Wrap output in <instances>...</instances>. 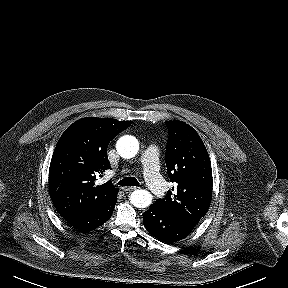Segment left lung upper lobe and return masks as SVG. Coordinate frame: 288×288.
Segmentation results:
<instances>
[{"instance_id":"obj_1","label":"left lung upper lobe","mask_w":288,"mask_h":288,"mask_svg":"<svg viewBox=\"0 0 288 288\" xmlns=\"http://www.w3.org/2000/svg\"><path fill=\"white\" fill-rule=\"evenodd\" d=\"M169 138L165 162L174 193L167 192L155 204L163 211L192 225L198 224L209 209L212 197V168L198 133L181 121L166 122Z\"/></svg>"}]
</instances>
